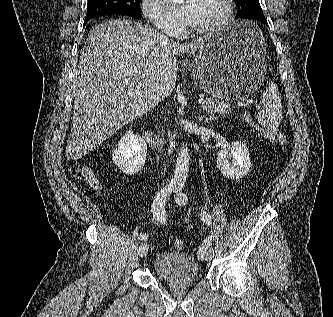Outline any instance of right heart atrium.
<instances>
[{
    "label": "right heart atrium",
    "instance_id": "right-heart-atrium-1",
    "mask_svg": "<svg viewBox=\"0 0 333 317\" xmlns=\"http://www.w3.org/2000/svg\"><path fill=\"white\" fill-rule=\"evenodd\" d=\"M142 12L149 22L165 33L177 34L181 30V26L164 11L159 0H143Z\"/></svg>",
    "mask_w": 333,
    "mask_h": 317
}]
</instances>
